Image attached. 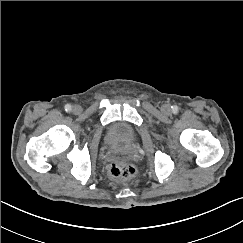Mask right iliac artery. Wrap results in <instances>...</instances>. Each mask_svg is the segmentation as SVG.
Wrapping results in <instances>:
<instances>
[{
	"mask_svg": "<svg viewBox=\"0 0 243 243\" xmlns=\"http://www.w3.org/2000/svg\"><path fill=\"white\" fill-rule=\"evenodd\" d=\"M71 109H72V107H71L70 104H66V105H65V111H66V112H70Z\"/></svg>",
	"mask_w": 243,
	"mask_h": 243,
	"instance_id": "82829eb1",
	"label": "right iliac artery"
}]
</instances>
